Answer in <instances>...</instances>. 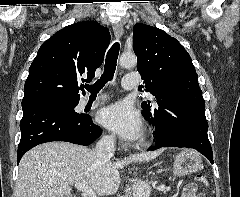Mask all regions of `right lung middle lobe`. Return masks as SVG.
Returning <instances> with one entry per match:
<instances>
[{"label":"right lung middle lobe","mask_w":240,"mask_h":197,"mask_svg":"<svg viewBox=\"0 0 240 197\" xmlns=\"http://www.w3.org/2000/svg\"><path fill=\"white\" fill-rule=\"evenodd\" d=\"M47 103H52L59 106L60 108L65 110L70 116H75L78 118H81L83 116V115H79L74 111V108L78 105V100L77 101H51Z\"/></svg>","instance_id":"1"}]
</instances>
